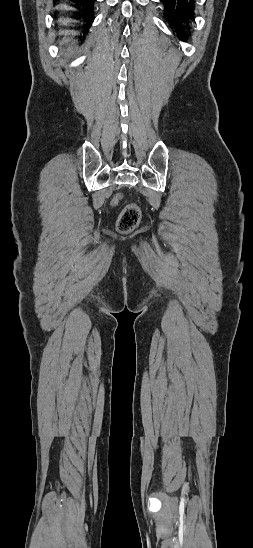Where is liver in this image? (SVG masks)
<instances>
[{
	"mask_svg": "<svg viewBox=\"0 0 253 548\" xmlns=\"http://www.w3.org/2000/svg\"><path fill=\"white\" fill-rule=\"evenodd\" d=\"M58 8L67 9L68 6H66V5H60V6H58ZM70 22H72L71 19H64V18H60V19H59V23H61V24H68V23H70ZM59 33H60V34H63V35L65 36V37L63 38V42H68V41L70 40V38L67 37V36H69V35L74 36V35L77 34L76 31H69V30H65V31H64V30H63V31L61 30Z\"/></svg>",
	"mask_w": 253,
	"mask_h": 548,
	"instance_id": "1",
	"label": "liver"
}]
</instances>
